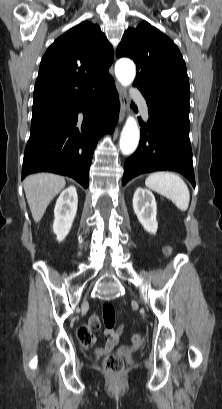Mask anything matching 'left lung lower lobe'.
Returning <instances> with one entry per match:
<instances>
[{
	"instance_id": "obj_1",
	"label": "left lung lower lobe",
	"mask_w": 222,
	"mask_h": 409,
	"mask_svg": "<svg viewBox=\"0 0 222 409\" xmlns=\"http://www.w3.org/2000/svg\"><path fill=\"white\" fill-rule=\"evenodd\" d=\"M147 105L145 136L141 132L138 149L125 162L123 185L143 173L171 170L183 174L195 187L189 107L180 99Z\"/></svg>"
}]
</instances>
